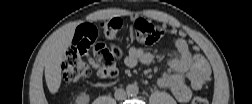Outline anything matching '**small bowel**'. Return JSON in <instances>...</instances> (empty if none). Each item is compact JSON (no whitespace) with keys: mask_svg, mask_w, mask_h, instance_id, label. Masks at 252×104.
I'll use <instances>...</instances> for the list:
<instances>
[{"mask_svg":"<svg viewBox=\"0 0 252 104\" xmlns=\"http://www.w3.org/2000/svg\"><path fill=\"white\" fill-rule=\"evenodd\" d=\"M176 52L167 59V66L172 73L161 75L156 83L160 88L171 90L180 102H188L192 91L200 89L211 77V69L200 54H192L188 43L182 38L172 40ZM154 60L152 53L145 47H132L124 58L127 67L138 63L150 65ZM89 65L96 71L98 78L109 77L97 56L88 57Z\"/></svg>","mask_w":252,"mask_h":104,"instance_id":"obj_1","label":"small bowel"}]
</instances>
